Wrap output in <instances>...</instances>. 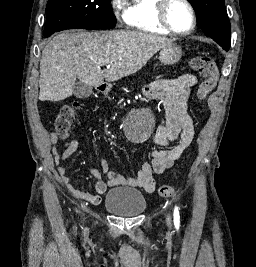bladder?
Listing matches in <instances>:
<instances>
[{
  "instance_id": "31cf9c89",
  "label": "bladder",
  "mask_w": 256,
  "mask_h": 267,
  "mask_svg": "<svg viewBox=\"0 0 256 267\" xmlns=\"http://www.w3.org/2000/svg\"><path fill=\"white\" fill-rule=\"evenodd\" d=\"M104 207L116 216L132 217L145 210V199L134 189H113L106 194Z\"/></svg>"
}]
</instances>
